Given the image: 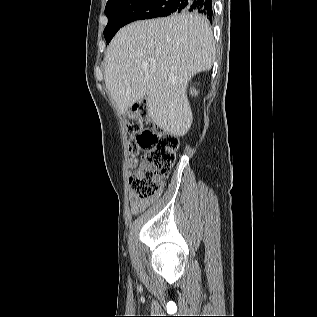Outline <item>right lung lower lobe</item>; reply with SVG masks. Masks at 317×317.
<instances>
[{
	"instance_id": "right-lung-lower-lobe-1",
	"label": "right lung lower lobe",
	"mask_w": 317,
	"mask_h": 317,
	"mask_svg": "<svg viewBox=\"0 0 317 317\" xmlns=\"http://www.w3.org/2000/svg\"><path fill=\"white\" fill-rule=\"evenodd\" d=\"M176 12H195L206 16L212 23V0H175Z\"/></svg>"
}]
</instances>
